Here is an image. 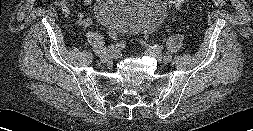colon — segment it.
Returning a JSON list of instances; mask_svg holds the SVG:
<instances>
[{
    "label": "colon",
    "mask_w": 253,
    "mask_h": 131,
    "mask_svg": "<svg viewBox=\"0 0 253 131\" xmlns=\"http://www.w3.org/2000/svg\"><path fill=\"white\" fill-rule=\"evenodd\" d=\"M170 8L174 10L180 9L187 0H168ZM209 5L211 7H224L226 5V0H210ZM108 36L112 40L117 39V32L115 30L109 29L108 30Z\"/></svg>",
    "instance_id": "5ec220e1"
}]
</instances>
